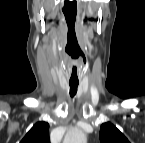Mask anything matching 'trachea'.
<instances>
[{
	"label": "trachea",
	"instance_id": "1",
	"mask_svg": "<svg viewBox=\"0 0 145 143\" xmlns=\"http://www.w3.org/2000/svg\"><path fill=\"white\" fill-rule=\"evenodd\" d=\"M78 82H69V86H70V96L74 97L77 93V89H78Z\"/></svg>",
	"mask_w": 145,
	"mask_h": 143
}]
</instances>
